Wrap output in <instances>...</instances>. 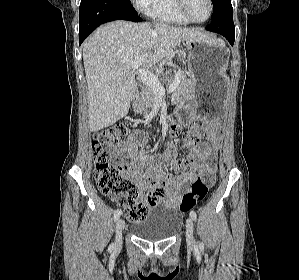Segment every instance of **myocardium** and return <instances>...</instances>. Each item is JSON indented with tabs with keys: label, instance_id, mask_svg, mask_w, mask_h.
Wrapping results in <instances>:
<instances>
[{
	"label": "myocardium",
	"instance_id": "obj_1",
	"mask_svg": "<svg viewBox=\"0 0 299 280\" xmlns=\"http://www.w3.org/2000/svg\"><path fill=\"white\" fill-rule=\"evenodd\" d=\"M207 2H208V5H209L208 15H207V17L204 20L198 21V20L193 19L190 16V14L188 13L187 7H186L187 0H175L176 8L179 11V13L187 21H189L190 23H193V24H203V23L207 22L211 18L212 14H213V2H212V0H207Z\"/></svg>",
	"mask_w": 299,
	"mask_h": 280
}]
</instances>
